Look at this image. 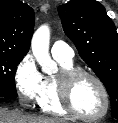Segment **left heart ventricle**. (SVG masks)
Listing matches in <instances>:
<instances>
[{
	"label": "left heart ventricle",
	"instance_id": "obj_1",
	"mask_svg": "<svg viewBox=\"0 0 118 123\" xmlns=\"http://www.w3.org/2000/svg\"><path fill=\"white\" fill-rule=\"evenodd\" d=\"M72 102L83 115L96 116L104 110V97L99 86L90 78L83 77L72 88Z\"/></svg>",
	"mask_w": 118,
	"mask_h": 123
}]
</instances>
